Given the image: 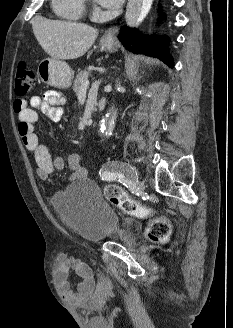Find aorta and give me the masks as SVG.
Listing matches in <instances>:
<instances>
[{
  "instance_id": "aorta-1",
  "label": "aorta",
  "mask_w": 233,
  "mask_h": 328,
  "mask_svg": "<svg viewBox=\"0 0 233 328\" xmlns=\"http://www.w3.org/2000/svg\"><path fill=\"white\" fill-rule=\"evenodd\" d=\"M153 0H128L125 20L128 26L141 22L148 14ZM119 83L117 88L119 89ZM117 118V110L109 109L101 120L99 132L101 135L109 137L112 135L115 121Z\"/></svg>"
}]
</instances>
